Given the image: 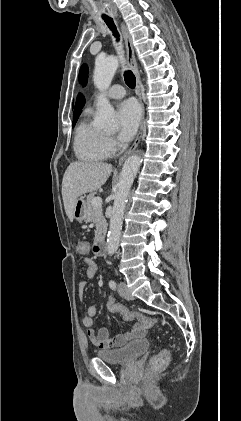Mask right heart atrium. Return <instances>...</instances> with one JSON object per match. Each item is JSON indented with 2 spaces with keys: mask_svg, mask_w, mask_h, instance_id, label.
<instances>
[{
  "mask_svg": "<svg viewBox=\"0 0 241 421\" xmlns=\"http://www.w3.org/2000/svg\"><path fill=\"white\" fill-rule=\"evenodd\" d=\"M106 144L111 153L114 152L117 148V143L111 136H106Z\"/></svg>",
  "mask_w": 241,
  "mask_h": 421,
  "instance_id": "1",
  "label": "right heart atrium"
}]
</instances>
